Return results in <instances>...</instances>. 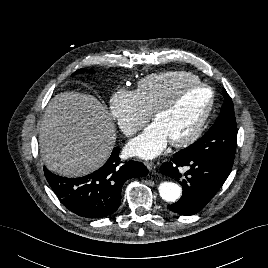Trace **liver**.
I'll use <instances>...</instances> for the list:
<instances>
[{
  "label": "liver",
  "instance_id": "1",
  "mask_svg": "<svg viewBox=\"0 0 268 268\" xmlns=\"http://www.w3.org/2000/svg\"><path fill=\"white\" fill-rule=\"evenodd\" d=\"M115 142L112 118L94 96L59 93L46 107L39 147L50 171L64 177L87 175L107 161Z\"/></svg>",
  "mask_w": 268,
  "mask_h": 268
}]
</instances>
